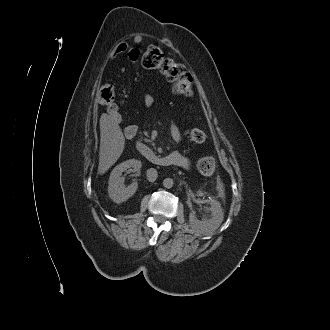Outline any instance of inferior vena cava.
I'll list each match as a JSON object with an SVG mask.
<instances>
[{
	"label": "inferior vena cava",
	"instance_id": "602c4592",
	"mask_svg": "<svg viewBox=\"0 0 330 330\" xmlns=\"http://www.w3.org/2000/svg\"><path fill=\"white\" fill-rule=\"evenodd\" d=\"M146 175H147V180L148 181L154 182L158 177V172H157L156 169L150 168V169L147 170Z\"/></svg>",
	"mask_w": 330,
	"mask_h": 330
}]
</instances>
